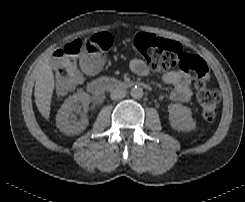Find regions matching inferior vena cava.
<instances>
[{
    "label": "inferior vena cava",
    "mask_w": 245,
    "mask_h": 202,
    "mask_svg": "<svg viewBox=\"0 0 245 202\" xmlns=\"http://www.w3.org/2000/svg\"><path fill=\"white\" fill-rule=\"evenodd\" d=\"M126 91L123 88H115L111 91V99L112 100H120L126 96Z\"/></svg>",
    "instance_id": "1"
}]
</instances>
